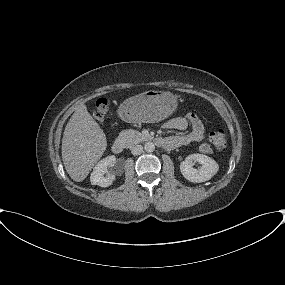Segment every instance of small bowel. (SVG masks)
Returning a JSON list of instances; mask_svg holds the SVG:
<instances>
[{
	"label": "small bowel",
	"mask_w": 285,
	"mask_h": 285,
	"mask_svg": "<svg viewBox=\"0 0 285 285\" xmlns=\"http://www.w3.org/2000/svg\"><path fill=\"white\" fill-rule=\"evenodd\" d=\"M164 128L180 131H186L190 128L189 132L166 138V147L169 149L178 148L191 142H201L205 138L204 125L195 113H187L174 117L164 124Z\"/></svg>",
	"instance_id": "c3829d8e"
}]
</instances>
